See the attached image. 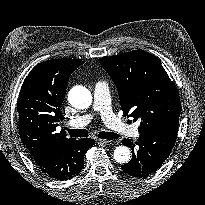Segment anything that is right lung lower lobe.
Here are the masks:
<instances>
[{
    "instance_id": "obj_1",
    "label": "right lung lower lobe",
    "mask_w": 205,
    "mask_h": 205,
    "mask_svg": "<svg viewBox=\"0 0 205 205\" xmlns=\"http://www.w3.org/2000/svg\"><path fill=\"white\" fill-rule=\"evenodd\" d=\"M94 143V140L90 138L73 139L49 154L35 159V163L51 178L56 180L72 179L83 169L84 155Z\"/></svg>"
}]
</instances>
